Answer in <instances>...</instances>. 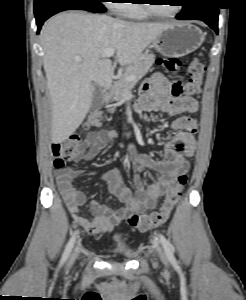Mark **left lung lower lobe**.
Masks as SVG:
<instances>
[{
  "instance_id": "1",
  "label": "left lung lower lobe",
  "mask_w": 246,
  "mask_h": 300,
  "mask_svg": "<svg viewBox=\"0 0 246 300\" xmlns=\"http://www.w3.org/2000/svg\"><path fill=\"white\" fill-rule=\"evenodd\" d=\"M218 14L219 8L214 0H191L188 5L183 6L176 18L204 21L218 34Z\"/></svg>"
}]
</instances>
